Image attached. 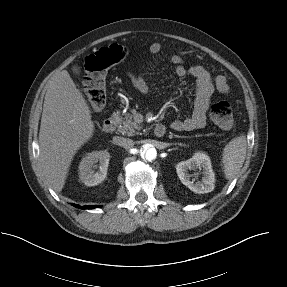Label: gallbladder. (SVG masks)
Wrapping results in <instances>:
<instances>
[{
	"mask_svg": "<svg viewBox=\"0 0 287 287\" xmlns=\"http://www.w3.org/2000/svg\"><path fill=\"white\" fill-rule=\"evenodd\" d=\"M72 72L75 74V75H78L80 74V68L78 66H74L72 68Z\"/></svg>",
	"mask_w": 287,
	"mask_h": 287,
	"instance_id": "bac80fb5",
	"label": "gallbladder"
}]
</instances>
